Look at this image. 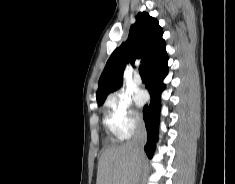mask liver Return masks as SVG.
Returning <instances> with one entry per match:
<instances>
[{
    "label": "liver",
    "instance_id": "obj_1",
    "mask_svg": "<svg viewBox=\"0 0 235 184\" xmlns=\"http://www.w3.org/2000/svg\"><path fill=\"white\" fill-rule=\"evenodd\" d=\"M143 158L133 152L130 142L107 148L99 160L97 184H135Z\"/></svg>",
    "mask_w": 235,
    "mask_h": 184
}]
</instances>
